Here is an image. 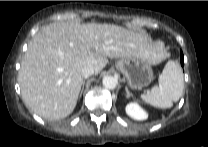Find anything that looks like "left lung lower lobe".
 Wrapping results in <instances>:
<instances>
[{
	"label": "left lung lower lobe",
	"mask_w": 208,
	"mask_h": 147,
	"mask_svg": "<svg viewBox=\"0 0 208 147\" xmlns=\"http://www.w3.org/2000/svg\"><path fill=\"white\" fill-rule=\"evenodd\" d=\"M181 65H184V58H183V53L181 52V57H180Z\"/></svg>",
	"instance_id": "1"
}]
</instances>
